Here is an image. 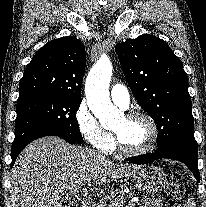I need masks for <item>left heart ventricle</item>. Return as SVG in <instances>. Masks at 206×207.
<instances>
[{"mask_svg":"<svg viewBox=\"0 0 206 207\" xmlns=\"http://www.w3.org/2000/svg\"><path fill=\"white\" fill-rule=\"evenodd\" d=\"M123 145L128 149H140L146 146L151 137L148 123L143 119L128 120L122 117L114 128Z\"/></svg>","mask_w":206,"mask_h":207,"instance_id":"obj_1","label":"left heart ventricle"}]
</instances>
